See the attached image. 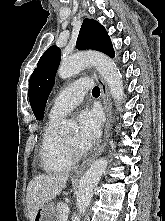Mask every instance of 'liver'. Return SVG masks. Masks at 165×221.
Instances as JSON below:
<instances>
[{
    "label": "liver",
    "instance_id": "obj_1",
    "mask_svg": "<svg viewBox=\"0 0 165 221\" xmlns=\"http://www.w3.org/2000/svg\"><path fill=\"white\" fill-rule=\"evenodd\" d=\"M68 178V175H38L29 182L26 201L30 221H34L36 213L61 193Z\"/></svg>",
    "mask_w": 165,
    "mask_h": 221
}]
</instances>
